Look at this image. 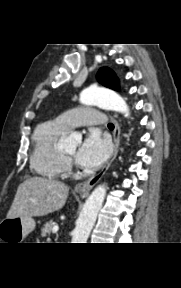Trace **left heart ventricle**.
Returning <instances> with one entry per match:
<instances>
[{
  "label": "left heart ventricle",
  "mask_w": 181,
  "mask_h": 288,
  "mask_svg": "<svg viewBox=\"0 0 181 288\" xmlns=\"http://www.w3.org/2000/svg\"><path fill=\"white\" fill-rule=\"evenodd\" d=\"M75 152H76V146L64 150V153L71 157L74 156Z\"/></svg>",
  "instance_id": "1"
}]
</instances>
